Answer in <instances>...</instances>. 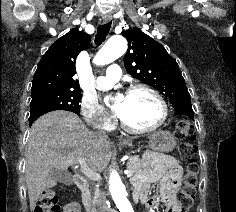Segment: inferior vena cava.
Here are the masks:
<instances>
[{"label":"inferior vena cava","instance_id":"602c4592","mask_svg":"<svg viewBox=\"0 0 236 212\" xmlns=\"http://www.w3.org/2000/svg\"><path fill=\"white\" fill-rule=\"evenodd\" d=\"M98 135H100V136H102L104 138H107V135L104 132H100ZM101 198H103V196Z\"/></svg>","mask_w":236,"mask_h":212}]
</instances>
